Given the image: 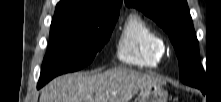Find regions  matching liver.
Listing matches in <instances>:
<instances>
[{
  "mask_svg": "<svg viewBox=\"0 0 221 102\" xmlns=\"http://www.w3.org/2000/svg\"><path fill=\"white\" fill-rule=\"evenodd\" d=\"M162 81L127 68L100 74H67L51 81L40 102H129L139 91Z\"/></svg>",
  "mask_w": 221,
  "mask_h": 102,
  "instance_id": "1",
  "label": "liver"
}]
</instances>
